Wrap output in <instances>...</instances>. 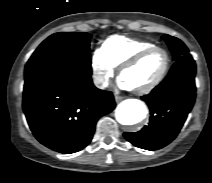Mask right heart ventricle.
Masks as SVG:
<instances>
[{
  "mask_svg": "<svg viewBox=\"0 0 212 183\" xmlns=\"http://www.w3.org/2000/svg\"><path fill=\"white\" fill-rule=\"evenodd\" d=\"M154 45V42L147 40L112 36L103 43L102 48L113 65L119 67L139 51Z\"/></svg>",
  "mask_w": 212,
  "mask_h": 183,
  "instance_id": "right-heart-ventricle-1",
  "label": "right heart ventricle"
}]
</instances>
